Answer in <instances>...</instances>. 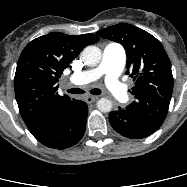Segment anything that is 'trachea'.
<instances>
[{"mask_svg":"<svg viewBox=\"0 0 187 187\" xmlns=\"http://www.w3.org/2000/svg\"><path fill=\"white\" fill-rule=\"evenodd\" d=\"M67 92L71 93V94H83V93H85V91L80 89V88L68 89ZM90 93L93 94V95H99V94H101V90L97 89V88H94V89L90 90Z\"/></svg>","mask_w":187,"mask_h":187,"instance_id":"3493384b","label":"trachea"}]
</instances>
